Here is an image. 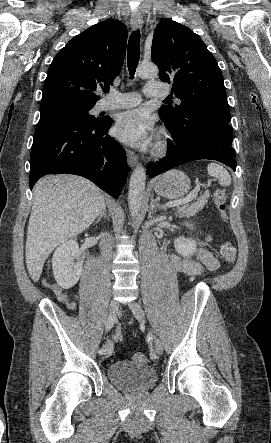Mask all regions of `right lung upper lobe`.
Masks as SVG:
<instances>
[{"instance_id": "right-lung-upper-lobe-1", "label": "right lung upper lobe", "mask_w": 271, "mask_h": 443, "mask_svg": "<svg viewBox=\"0 0 271 443\" xmlns=\"http://www.w3.org/2000/svg\"><path fill=\"white\" fill-rule=\"evenodd\" d=\"M127 36L123 23L109 19L71 39L49 66L41 103L59 99L95 103L100 98L97 88H109L120 73Z\"/></svg>"}]
</instances>
